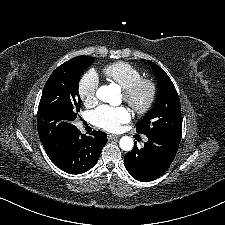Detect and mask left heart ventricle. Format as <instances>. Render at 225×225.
<instances>
[{"label":"left heart ventricle","mask_w":225,"mask_h":225,"mask_svg":"<svg viewBox=\"0 0 225 225\" xmlns=\"http://www.w3.org/2000/svg\"><path fill=\"white\" fill-rule=\"evenodd\" d=\"M146 97H147V90L143 89L138 95V100L140 102H143L146 99Z\"/></svg>","instance_id":"left-heart-ventricle-1"}]
</instances>
